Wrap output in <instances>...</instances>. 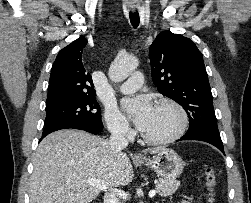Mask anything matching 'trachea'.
<instances>
[{"instance_id":"1","label":"trachea","mask_w":251,"mask_h":203,"mask_svg":"<svg viewBox=\"0 0 251 203\" xmlns=\"http://www.w3.org/2000/svg\"><path fill=\"white\" fill-rule=\"evenodd\" d=\"M129 18H130V22H131L132 26L134 28H137L139 25V22H140L139 13L137 11L130 12Z\"/></svg>"}]
</instances>
